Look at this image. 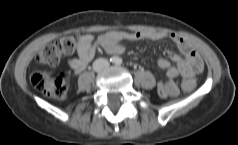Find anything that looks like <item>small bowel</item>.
I'll list each match as a JSON object with an SVG mask.
<instances>
[{
  "mask_svg": "<svg viewBox=\"0 0 238 145\" xmlns=\"http://www.w3.org/2000/svg\"><path fill=\"white\" fill-rule=\"evenodd\" d=\"M167 37L177 44L179 50L184 54V58L168 50L165 52L166 58L162 57L158 60V66L166 70L167 79L157 83V90L163 98L175 97L179 94V88L175 83L177 77L181 76L183 83L189 84L190 91L195 86V75L203 70L202 59L191 42L175 33L113 30L101 34L97 39L89 33L79 34L76 46L78 57L71 58L68 64L74 72L79 73L86 68L100 49L117 55L124 52L122 41L160 40ZM168 59L172 60L175 65L171 66Z\"/></svg>",
  "mask_w": 238,
  "mask_h": 145,
  "instance_id": "1",
  "label": "small bowel"
}]
</instances>
